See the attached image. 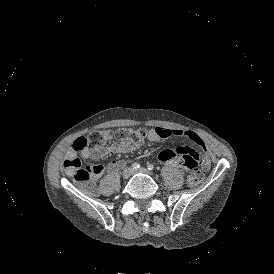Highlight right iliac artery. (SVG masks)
<instances>
[{
    "label": "right iliac artery",
    "mask_w": 274,
    "mask_h": 274,
    "mask_svg": "<svg viewBox=\"0 0 274 274\" xmlns=\"http://www.w3.org/2000/svg\"><path fill=\"white\" fill-rule=\"evenodd\" d=\"M139 167H140V165L138 163H136V162L131 165V168L133 170H137Z\"/></svg>",
    "instance_id": "right-iliac-artery-1"
}]
</instances>
